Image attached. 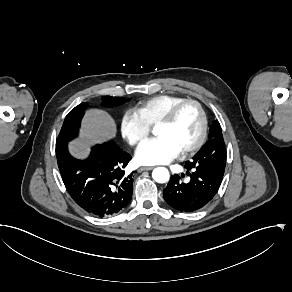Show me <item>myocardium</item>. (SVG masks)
Returning <instances> with one entry per match:
<instances>
[{
    "label": "myocardium",
    "instance_id": "1",
    "mask_svg": "<svg viewBox=\"0 0 292 292\" xmlns=\"http://www.w3.org/2000/svg\"><path fill=\"white\" fill-rule=\"evenodd\" d=\"M185 105H193L198 113H199V117H200V129H199V134L197 139L195 140V142L184 148L181 153L183 155H187L189 153H192L196 150H198L204 140H205V136H206V132H207V119H206V115L204 112L203 107L201 106V104L193 99H183L179 102L174 103L173 105H171L155 122V125H160V124H168L170 122H172L174 120V118L176 117V114L178 113V111Z\"/></svg>",
    "mask_w": 292,
    "mask_h": 292
}]
</instances>
